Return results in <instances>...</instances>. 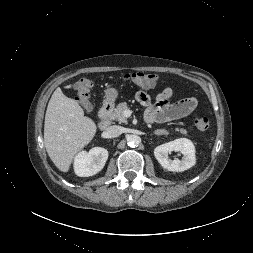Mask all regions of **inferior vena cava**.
Instances as JSON below:
<instances>
[{
	"label": "inferior vena cava",
	"mask_w": 253,
	"mask_h": 253,
	"mask_svg": "<svg viewBox=\"0 0 253 253\" xmlns=\"http://www.w3.org/2000/svg\"><path fill=\"white\" fill-rule=\"evenodd\" d=\"M120 134H122V127L118 125L110 126L104 131V135L107 138H114L119 136Z\"/></svg>",
	"instance_id": "1"
}]
</instances>
